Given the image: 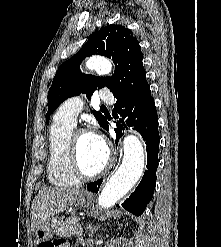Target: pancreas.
Masks as SVG:
<instances>
[{
  "instance_id": "pancreas-1",
  "label": "pancreas",
  "mask_w": 221,
  "mask_h": 247,
  "mask_svg": "<svg viewBox=\"0 0 221 247\" xmlns=\"http://www.w3.org/2000/svg\"><path fill=\"white\" fill-rule=\"evenodd\" d=\"M53 227L56 235L61 237H69L71 235H75L78 237V240L82 245L86 244V241L82 236L83 230L81 228V225L78 223L77 218L71 217L66 220L60 219L54 224Z\"/></svg>"
}]
</instances>
